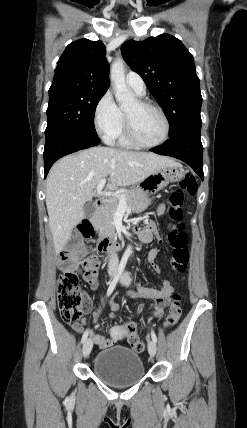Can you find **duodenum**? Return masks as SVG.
Here are the masks:
<instances>
[{
  "label": "duodenum",
  "instance_id": "1",
  "mask_svg": "<svg viewBox=\"0 0 247 428\" xmlns=\"http://www.w3.org/2000/svg\"><path fill=\"white\" fill-rule=\"evenodd\" d=\"M97 207H100L101 205L104 204V200L103 199H98L95 202ZM136 231H138V228H135ZM122 243L121 240L117 237V236H104L99 244H98V248L100 251L102 252H112L115 251L117 249H119L121 247Z\"/></svg>",
  "mask_w": 247,
  "mask_h": 428
}]
</instances>
